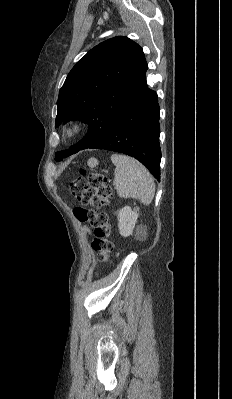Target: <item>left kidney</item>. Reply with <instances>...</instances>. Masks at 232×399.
<instances>
[{"instance_id":"5707ae66","label":"left kidney","mask_w":232,"mask_h":399,"mask_svg":"<svg viewBox=\"0 0 232 399\" xmlns=\"http://www.w3.org/2000/svg\"><path fill=\"white\" fill-rule=\"evenodd\" d=\"M137 209H131L129 205H125V207H122L118 213V227L121 235H124V237H127V235H132L133 229L135 227V223H137ZM145 231V227L143 225H138L137 231H136V237L139 239V237H143Z\"/></svg>"}]
</instances>
